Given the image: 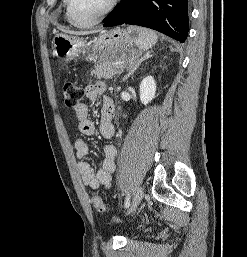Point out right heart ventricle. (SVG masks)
I'll use <instances>...</instances> for the list:
<instances>
[{
    "label": "right heart ventricle",
    "mask_w": 247,
    "mask_h": 257,
    "mask_svg": "<svg viewBox=\"0 0 247 257\" xmlns=\"http://www.w3.org/2000/svg\"><path fill=\"white\" fill-rule=\"evenodd\" d=\"M63 2H64V4L66 5V0H63ZM64 17H65V19H66L67 21L70 22L69 17H68V15H67V11H65Z\"/></svg>",
    "instance_id": "obj_1"
}]
</instances>
